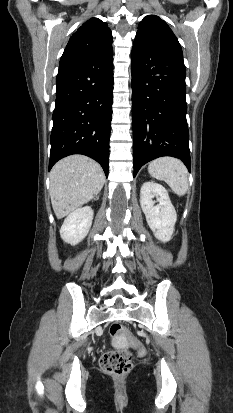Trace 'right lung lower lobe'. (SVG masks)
<instances>
[{"label":"right lung lower lobe","mask_w":233,"mask_h":413,"mask_svg":"<svg viewBox=\"0 0 233 413\" xmlns=\"http://www.w3.org/2000/svg\"><path fill=\"white\" fill-rule=\"evenodd\" d=\"M113 82L112 47L59 65L49 170L63 157L83 154L108 175Z\"/></svg>","instance_id":"98d812e1"}]
</instances>
